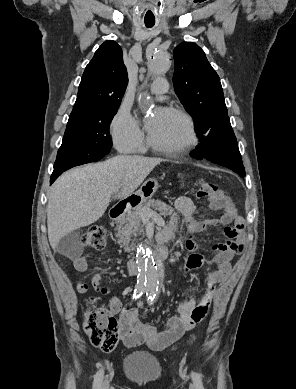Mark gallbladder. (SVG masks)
<instances>
[{"label": "gallbladder", "mask_w": 296, "mask_h": 389, "mask_svg": "<svg viewBox=\"0 0 296 389\" xmlns=\"http://www.w3.org/2000/svg\"><path fill=\"white\" fill-rule=\"evenodd\" d=\"M57 250L70 258H77L83 253L80 241V232L73 231L60 239Z\"/></svg>", "instance_id": "bac80fb5"}]
</instances>
